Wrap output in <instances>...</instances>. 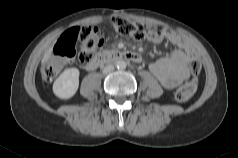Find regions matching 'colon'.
<instances>
[{
	"label": "colon",
	"mask_w": 238,
	"mask_h": 158,
	"mask_svg": "<svg viewBox=\"0 0 238 158\" xmlns=\"http://www.w3.org/2000/svg\"><path fill=\"white\" fill-rule=\"evenodd\" d=\"M112 26L120 35L136 40L151 39L160 34L156 26L123 17L113 18ZM103 41L102 32L94 27L78 26L67 30L57 40L53 55L42 66L43 79L52 81L62 71L66 63L76 55L80 62H89L94 51L102 45ZM188 67L194 78L177 89L175 99L181 103L188 101L196 92L198 86L196 76L201 71V63L194 59Z\"/></svg>",
	"instance_id": "5ec220e1"
}]
</instances>
